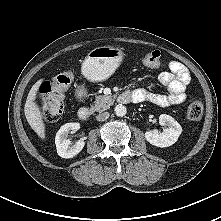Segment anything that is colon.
<instances>
[{
    "mask_svg": "<svg viewBox=\"0 0 221 221\" xmlns=\"http://www.w3.org/2000/svg\"><path fill=\"white\" fill-rule=\"evenodd\" d=\"M144 66L159 69L163 65L161 53L157 50L148 52L142 59ZM73 81V73L65 71L51 81H44L38 87V103L49 121H57L64 110L65 93ZM203 105L199 99H192L187 107V116L197 121L202 117Z\"/></svg>",
    "mask_w": 221,
    "mask_h": 221,
    "instance_id": "5ec220e1",
    "label": "colon"
}]
</instances>
